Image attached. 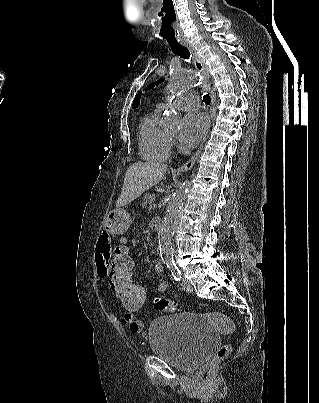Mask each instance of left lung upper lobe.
I'll use <instances>...</instances> for the list:
<instances>
[{
    "mask_svg": "<svg viewBox=\"0 0 319 403\" xmlns=\"http://www.w3.org/2000/svg\"><path fill=\"white\" fill-rule=\"evenodd\" d=\"M163 80H164V79L161 78L159 81H157V82H155V83L149 84L146 89H151V88H153L155 85H158L160 82H163Z\"/></svg>",
    "mask_w": 319,
    "mask_h": 403,
    "instance_id": "left-lung-upper-lobe-1",
    "label": "left lung upper lobe"
}]
</instances>
